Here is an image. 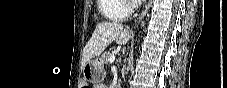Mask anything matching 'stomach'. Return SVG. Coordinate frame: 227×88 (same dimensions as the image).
<instances>
[{"mask_svg": "<svg viewBox=\"0 0 227 88\" xmlns=\"http://www.w3.org/2000/svg\"><path fill=\"white\" fill-rule=\"evenodd\" d=\"M104 61L101 58L88 61L84 65V77L91 83L101 82L105 77Z\"/></svg>", "mask_w": 227, "mask_h": 88, "instance_id": "obj_1", "label": "stomach"}]
</instances>
